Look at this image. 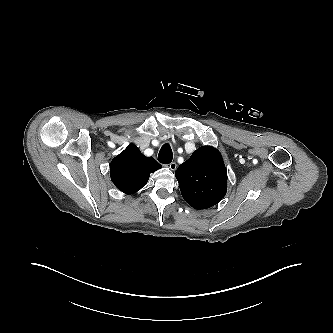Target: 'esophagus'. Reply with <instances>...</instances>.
I'll return each mask as SVG.
<instances>
[{
	"label": "esophagus",
	"instance_id": "esophagus-1",
	"mask_svg": "<svg viewBox=\"0 0 333 333\" xmlns=\"http://www.w3.org/2000/svg\"><path fill=\"white\" fill-rule=\"evenodd\" d=\"M168 166L172 171L176 170V168H177L176 162H171Z\"/></svg>",
	"mask_w": 333,
	"mask_h": 333
}]
</instances>
